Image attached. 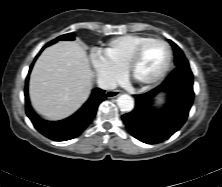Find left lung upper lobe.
Here are the masks:
<instances>
[{
	"instance_id": "obj_1",
	"label": "left lung upper lobe",
	"mask_w": 222,
	"mask_h": 187,
	"mask_svg": "<svg viewBox=\"0 0 222 187\" xmlns=\"http://www.w3.org/2000/svg\"><path fill=\"white\" fill-rule=\"evenodd\" d=\"M170 44L173 47L174 53H175V66H180V65H189L188 60L184 56L183 51L171 40H169Z\"/></svg>"
}]
</instances>
